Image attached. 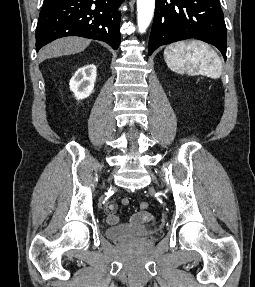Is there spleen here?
Instances as JSON below:
<instances>
[{
	"instance_id": "1",
	"label": "spleen",
	"mask_w": 255,
	"mask_h": 287,
	"mask_svg": "<svg viewBox=\"0 0 255 287\" xmlns=\"http://www.w3.org/2000/svg\"><path fill=\"white\" fill-rule=\"evenodd\" d=\"M164 60L171 70L182 72L185 66L199 72L202 76H209L213 80L222 74V62L214 50H209L203 42H176L164 50Z\"/></svg>"
}]
</instances>
